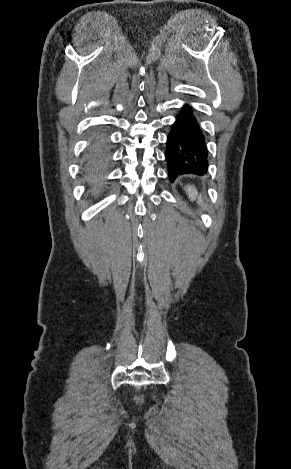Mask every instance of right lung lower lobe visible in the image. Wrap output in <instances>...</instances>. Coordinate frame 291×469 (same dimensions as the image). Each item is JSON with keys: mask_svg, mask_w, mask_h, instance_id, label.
<instances>
[{"mask_svg": "<svg viewBox=\"0 0 291 469\" xmlns=\"http://www.w3.org/2000/svg\"><path fill=\"white\" fill-rule=\"evenodd\" d=\"M109 162V147L105 135L92 132L84 156V164L89 169L104 168Z\"/></svg>", "mask_w": 291, "mask_h": 469, "instance_id": "1", "label": "right lung lower lobe"}]
</instances>
